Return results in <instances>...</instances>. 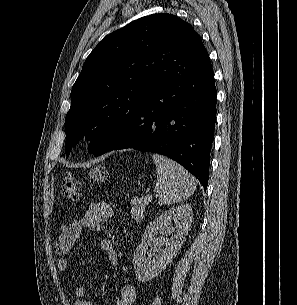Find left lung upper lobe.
Instances as JSON below:
<instances>
[{
    "label": "left lung upper lobe",
    "mask_w": 297,
    "mask_h": 305,
    "mask_svg": "<svg viewBox=\"0 0 297 305\" xmlns=\"http://www.w3.org/2000/svg\"><path fill=\"white\" fill-rule=\"evenodd\" d=\"M200 36L172 14H152L107 35L90 53L71 91L65 152L83 137L100 155L140 105L170 79L209 66Z\"/></svg>",
    "instance_id": "1"
}]
</instances>
